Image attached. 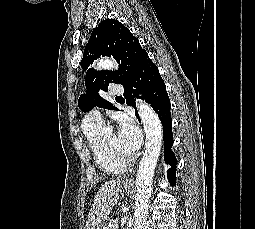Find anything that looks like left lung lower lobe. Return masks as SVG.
<instances>
[{
  "label": "left lung lower lobe",
  "mask_w": 255,
  "mask_h": 229,
  "mask_svg": "<svg viewBox=\"0 0 255 229\" xmlns=\"http://www.w3.org/2000/svg\"><path fill=\"white\" fill-rule=\"evenodd\" d=\"M123 87L125 89L124 97L126 98V103L128 105L133 106L136 109L135 97L141 98L151 104L155 112L158 114L163 126L165 162L172 167L168 170V179L172 185H175L177 160L171 151L174 142L172 134V118L170 114L171 104L165 83L160 76L158 68L151 61L147 52L142 55L135 70ZM137 117L139 118L138 114Z\"/></svg>",
  "instance_id": "left-lung-lower-lobe-1"
}]
</instances>
